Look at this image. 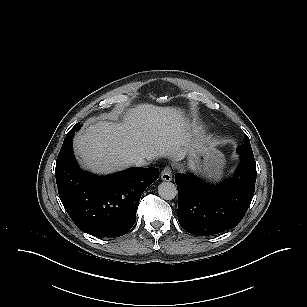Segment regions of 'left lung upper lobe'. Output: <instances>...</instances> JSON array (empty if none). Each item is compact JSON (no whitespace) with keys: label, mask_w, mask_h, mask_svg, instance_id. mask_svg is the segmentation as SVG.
Returning a JSON list of instances; mask_svg holds the SVG:
<instances>
[{"label":"left lung upper lobe","mask_w":307,"mask_h":307,"mask_svg":"<svg viewBox=\"0 0 307 307\" xmlns=\"http://www.w3.org/2000/svg\"><path fill=\"white\" fill-rule=\"evenodd\" d=\"M238 153L247 156H253L249 138L245 135L243 143L238 147Z\"/></svg>","instance_id":"left-lung-upper-lobe-1"}]
</instances>
